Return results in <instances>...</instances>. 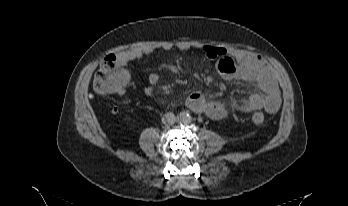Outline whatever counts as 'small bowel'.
<instances>
[{"label": "small bowel", "instance_id": "obj_1", "mask_svg": "<svg viewBox=\"0 0 348 206\" xmlns=\"http://www.w3.org/2000/svg\"><path fill=\"white\" fill-rule=\"evenodd\" d=\"M176 46L181 51H188L192 48L200 49L208 59L216 61L217 71L224 79L251 82L262 91V94H252L233 111L221 103L208 101L202 94L194 92L187 100L189 107L194 111L203 112L215 120H224L240 113H250L261 109L269 114H274L279 110L281 96L275 74L261 58L240 49L228 50L217 45H197L189 41H180ZM170 48V46L140 47L119 54L118 60L123 66H127L132 61ZM159 81L158 74L150 73L147 76L148 84L144 88V92L147 95L153 94ZM123 93L124 90L118 92V94Z\"/></svg>", "mask_w": 348, "mask_h": 206}]
</instances>
